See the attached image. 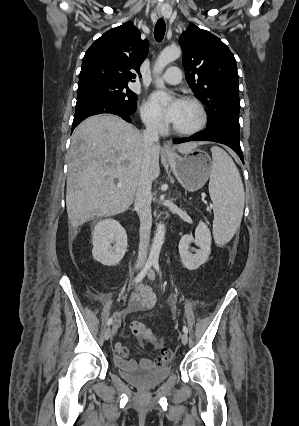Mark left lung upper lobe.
<instances>
[{"instance_id": "1", "label": "left lung upper lobe", "mask_w": 299, "mask_h": 426, "mask_svg": "<svg viewBox=\"0 0 299 426\" xmlns=\"http://www.w3.org/2000/svg\"><path fill=\"white\" fill-rule=\"evenodd\" d=\"M179 44L186 80L208 107V127L228 126L239 131V88L236 60L215 35L190 24Z\"/></svg>"}]
</instances>
